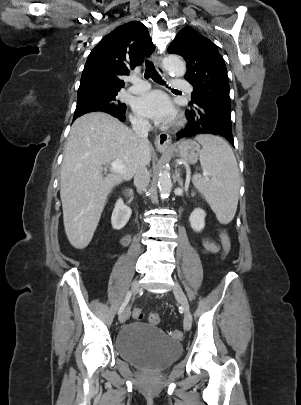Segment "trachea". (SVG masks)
<instances>
[{"mask_svg":"<svg viewBox=\"0 0 301 405\" xmlns=\"http://www.w3.org/2000/svg\"><path fill=\"white\" fill-rule=\"evenodd\" d=\"M145 78H151L153 79L155 82H157L158 84L161 85H165L164 80L161 78V76L158 74V72L156 71L154 65L152 62H150L149 60L145 61Z\"/></svg>","mask_w":301,"mask_h":405,"instance_id":"1","label":"trachea"}]
</instances>
